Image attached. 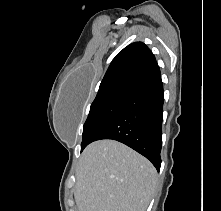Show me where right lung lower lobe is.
<instances>
[{
    "label": "right lung lower lobe",
    "instance_id": "obj_1",
    "mask_svg": "<svg viewBox=\"0 0 221 211\" xmlns=\"http://www.w3.org/2000/svg\"><path fill=\"white\" fill-rule=\"evenodd\" d=\"M163 102L161 79L139 87L90 143L100 139L122 142L149 159L159 171Z\"/></svg>",
    "mask_w": 221,
    "mask_h": 211
}]
</instances>
